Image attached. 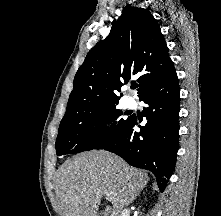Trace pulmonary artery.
Listing matches in <instances>:
<instances>
[{
    "label": "pulmonary artery",
    "mask_w": 221,
    "mask_h": 216,
    "mask_svg": "<svg viewBox=\"0 0 221 216\" xmlns=\"http://www.w3.org/2000/svg\"><path fill=\"white\" fill-rule=\"evenodd\" d=\"M137 102L136 99L134 97H128L127 99V106L129 108H134L136 106Z\"/></svg>",
    "instance_id": "1"
}]
</instances>
